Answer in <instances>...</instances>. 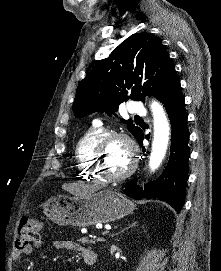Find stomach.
Masks as SVG:
<instances>
[{
	"label": "stomach",
	"mask_w": 221,
	"mask_h": 271,
	"mask_svg": "<svg viewBox=\"0 0 221 271\" xmlns=\"http://www.w3.org/2000/svg\"><path fill=\"white\" fill-rule=\"evenodd\" d=\"M135 205L115 189H100L77 197H48L44 213L59 225L87 227L115 221L133 211Z\"/></svg>",
	"instance_id": "stomach-1"
}]
</instances>
